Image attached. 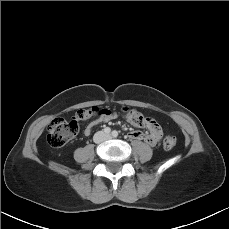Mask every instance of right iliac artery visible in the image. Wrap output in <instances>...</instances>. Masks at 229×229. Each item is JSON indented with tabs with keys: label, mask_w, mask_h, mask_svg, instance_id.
Instances as JSON below:
<instances>
[{
	"label": "right iliac artery",
	"mask_w": 229,
	"mask_h": 229,
	"mask_svg": "<svg viewBox=\"0 0 229 229\" xmlns=\"http://www.w3.org/2000/svg\"><path fill=\"white\" fill-rule=\"evenodd\" d=\"M104 132H105L106 134H110V133H111V129H110L109 127H106V128L104 129Z\"/></svg>",
	"instance_id": "right-iliac-artery-1"
}]
</instances>
